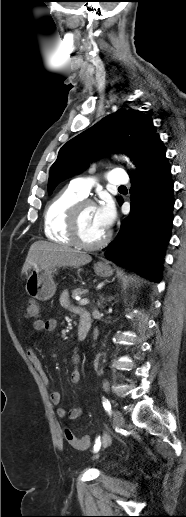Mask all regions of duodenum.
<instances>
[{
    "mask_svg": "<svg viewBox=\"0 0 186 517\" xmlns=\"http://www.w3.org/2000/svg\"><path fill=\"white\" fill-rule=\"evenodd\" d=\"M92 326V318L89 312L82 310L79 315V323H78V332L77 338L78 340H84L90 331Z\"/></svg>",
    "mask_w": 186,
    "mask_h": 517,
    "instance_id": "obj_1",
    "label": "duodenum"
}]
</instances>
